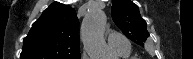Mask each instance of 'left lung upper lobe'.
<instances>
[{
    "instance_id": "left-lung-upper-lobe-1",
    "label": "left lung upper lobe",
    "mask_w": 193,
    "mask_h": 59,
    "mask_svg": "<svg viewBox=\"0 0 193 59\" xmlns=\"http://www.w3.org/2000/svg\"><path fill=\"white\" fill-rule=\"evenodd\" d=\"M112 18L126 37L144 47L149 33L139 8L130 0H112Z\"/></svg>"
}]
</instances>
